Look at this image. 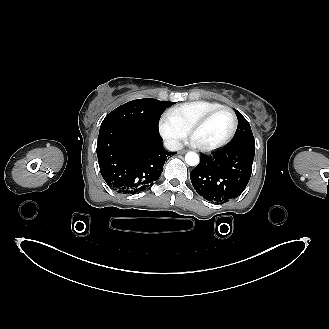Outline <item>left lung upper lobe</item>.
<instances>
[{
    "instance_id": "left-lung-upper-lobe-1",
    "label": "left lung upper lobe",
    "mask_w": 329,
    "mask_h": 329,
    "mask_svg": "<svg viewBox=\"0 0 329 329\" xmlns=\"http://www.w3.org/2000/svg\"><path fill=\"white\" fill-rule=\"evenodd\" d=\"M235 113L238 117V127L235 136L229 145L238 143H254V137L248 121L239 111L235 110Z\"/></svg>"
}]
</instances>
